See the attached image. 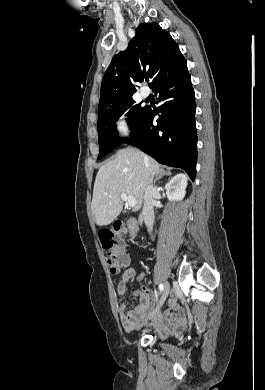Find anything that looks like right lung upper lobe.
<instances>
[{
    "label": "right lung upper lobe",
    "instance_id": "obj_1",
    "mask_svg": "<svg viewBox=\"0 0 265 390\" xmlns=\"http://www.w3.org/2000/svg\"><path fill=\"white\" fill-rule=\"evenodd\" d=\"M185 61L169 33L156 23L140 24L128 48L116 54L102 84L98 113L132 99V82L152 78V88Z\"/></svg>",
    "mask_w": 265,
    "mask_h": 390
}]
</instances>
